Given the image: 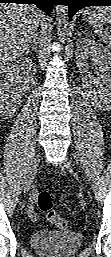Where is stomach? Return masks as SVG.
Listing matches in <instances>:
<instances>
[{"instance_id":"stomach-1","label":"stomach","mask_w":111,"mask_h":257,"mask_svg":"<svg viewBox=\"0 0 111 257\" xmlns=\"http://www.w3.org/2000/svg\"><path fill=\"white\" fill-rule=\"evenodd\" d=\"M90 13V9L86 10L85 13H84V16H88V14Z\"/></svg>"}]
</instances>
